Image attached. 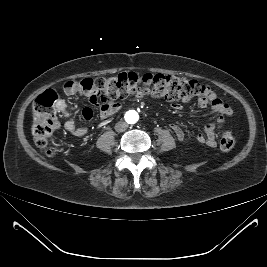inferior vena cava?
Here are the masks:
<instances>
[{
  "label": "inferior vena cava",
  "instance_id": "602c4592",
  "mask_svg": "<svg viewBox=\"0 0 267 267\" xmlns=\"http://www.w3.org/2000/svg\"><path fill=\"white\" fill-rule=\"evenodd\" d=\"M128 127V124L126 122L119 121L115 125V130L117 132H124Z\"/></svg>",
  "mask_w": 267,
  "mask_h": 267
}]
</instances>
